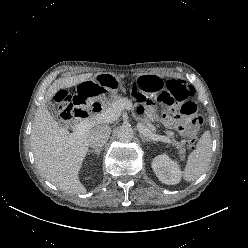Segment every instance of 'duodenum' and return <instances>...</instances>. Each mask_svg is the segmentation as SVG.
Returning a JSON list of instances; mask_svg holds the SVG:
<instances>
[{
    "mask_svg": "<svg viewBox=\"0 0 248 248\" xmlns=\"http://www.w3.org/2000/svg\"><path fill=\"white\" fill-rule=\"evenodd\" d=\"M90 112H91V110H87V109H85L83 107V113H82L81 117H87V116H89Z\"/></svg>",
    "mask_w": 248,
    "mask_h": 248,
    "instance_id": "obj_1",
    "label": "duodenum"
}]
</instances>
